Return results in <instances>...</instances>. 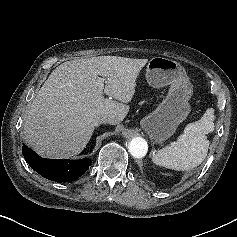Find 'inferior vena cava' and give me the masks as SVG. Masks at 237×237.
Instances as JSON below:
<instances>
[{
	"label": "inferior vena cava",
	"mask_w": 237,
	"mask_h": 237,
	"mask_svg": "<svg viewBox=\"0 0 237 237\" xmlns=\"http://www.w3.org/2000/svg\"><path fill=\"white\" fill-rule=\"evenodd\" d=\"M113 122L112 118L101 115V116H97L94 119V124L96 126L100 125V124H111Z\"/></svg>",
	"instance_id": "inferior-vena-cava-1"
}]
</instances>
